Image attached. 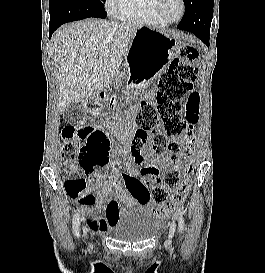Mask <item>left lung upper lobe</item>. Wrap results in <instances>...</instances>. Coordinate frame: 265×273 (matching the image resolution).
I'll return each instance as SVG.
<instances>
[{"label":"left lung upper lobe","instance_id":"obj_1","mask_svg":"<svg viewBox=\"0 0 265 273\" xmlns=\"http://www.w3.org/2000/svg\"><path fill=\"white\" fill-rule=\"evenodd\" d=\"M185 4V8H187L191 3L192 0H183ZM213 17V7L207 9L206 14H205V23L207 27H210L211 21Z\"/></svg>","mask_w":265,"mask_h":273}]
</instances>
